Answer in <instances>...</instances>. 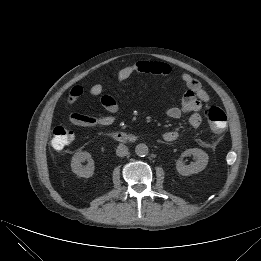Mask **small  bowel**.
<instances>
[{"label": "small bowel", "mask_w": 261, "mask_h": 261, "mask_svg": "<svg viewBox=\"0 0 261 261\" xmlns=\"http://www.w3.org/2000/svg\"><path fill=\"white\" fill-rule=\"evenodd\" d=\"M135 73H150L156 75H168L171 73V67L159 61H138L132 65L120 69L116 75L118 82H123L130 78ZM181 80L186 87V92L182 98L179 106H171L166 110L168 117L172 119H179L183 114H190L189 124L193 128H197L202 123V117L199 114L202 103L209 101V95L202 87L201 83L185 73L181 76ZM103 92V85L94 83L89 87V94L92 97L100 96ZM84 93V88L81 85H76L71 88L68 95V102L74 104ZM102 107L107 111L104 115H90L79 112H72L69 115V121L76 126L81 127H96V126H110L119 113V105L117 101L109 96L102 95L99 98ZM163 139L166 142H173L178 138V132L175 130H168L163 133Z\"/></svg>", "instance_id": "small-bowel-1"}]
</instances>
